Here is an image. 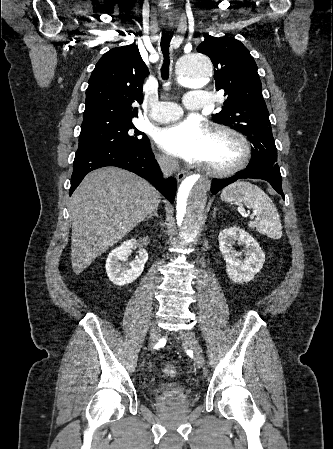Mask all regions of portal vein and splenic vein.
Wrapping results in <instances>:
<instances>
[{
	"label": "portal vein and splenic vein",
	"mask_w": 333,
	"mask_h": 449,
	"mask_svg": "<svg viewBox=\"0 0 333 449\" xmlns=\"http://www.w3.org/2000/svg\"><path fill=\"white\" fill-rule=\"evenodd\" d=\"M253 218H254V215H251V216H250V219H253Z\"/></svg>",
	"instance_id": "1"
}]
</instances>
